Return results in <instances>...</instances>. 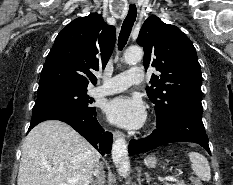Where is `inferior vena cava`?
<instances>
[{
	"label": "inferior vena cava",
	"mask_w": 233,
	"mask_h": 185,
	"mask_svg": "<svg viewBox=\"0 0 233 185\" xmlns=\"http://www.w3.org/2000/svg\"><path fill=\"white\" fill-rule=\"evenodd\" d=\"M99 171L97 169H95L94 171V175H98Z\"/></svg>",
	"instance_id": "inferior-vena-cava-1"
}]
</instances>
